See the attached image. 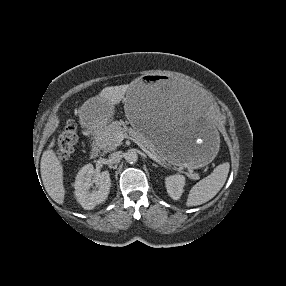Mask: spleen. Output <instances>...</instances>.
I'll list each match as a JSON object with an SVG mask.
<instances>
[{"label":"spleen","instance_id":"1","mask_svg":"<svg viewBox=\"0 0 286 286\" xmlns=\"http://www.w3.org/2000/svg\"><path fill=\"white\" fill-rule=\"evenodd\" d=\"M229 168L228 162L222 163L209 176L196 183L188 194L186 206H197L211 200L225 184Z\"/></svg>","mask_w":286,"mask_h":286}]
</instances>
